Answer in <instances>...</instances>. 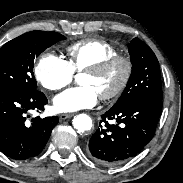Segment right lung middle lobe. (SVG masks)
I'll return each mask as SVG.
<instances>
[{
    "label": "right lung middle lobe",
    "instance_id": "1",
    "mask_svg": "<svg viewBox=\"0 0 183 183\" xmlns=\"http://www.w3.org/2000/svg\"><path fill=\"white\" fill-rule=\"evenodd\" d=\"M65 37L56 32L32 31L4 44L0 49V90L36 89L34 59Z\"/></svg>",
    "mask_w": 183,
    "mask_h": 183
}]
</instances>
